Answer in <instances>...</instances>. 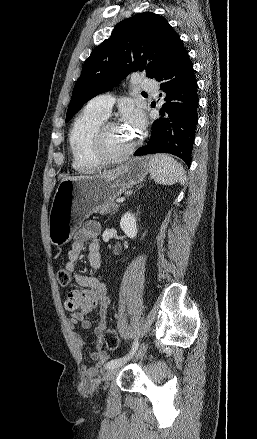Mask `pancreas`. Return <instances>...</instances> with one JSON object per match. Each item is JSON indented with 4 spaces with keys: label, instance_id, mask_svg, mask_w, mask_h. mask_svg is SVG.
Wrapping results in <instances>:
<instances>
[{
    "label": "pancreas",
    "instance_id": "obj_1",
    "mask_svg": "<svg viewBox=\"0 0 257 439\" xmlns=\"http://www.w3.org/2000/svg\"><path fill=\"white\" fill-rule=\"evenodd\" d=\"M119 205L115 204L114 200L107 201L95 209V212H99L100 214H110L117 210Z\"/></svg>",
    "mask_w": 257,
    "mask_h": 439
}]
</instances>
